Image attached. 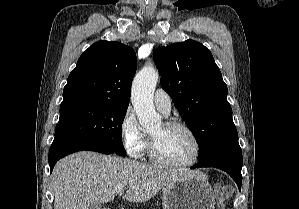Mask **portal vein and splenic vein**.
Instances as JSON below:
<instances>
[{
  "mask_svg": "<svg viewBox=\"0 0 299 209\" xmlns=\"http://www.w3.org/2000/svg\"><path fill=\"white\" fill-rule=\"evenodd\" d=\"M123 190H124V187H123V186H119V187L117 188V190H116V193H117V194H122Z\"/></svg>",
  "mask_w": 299,
  "mask_h": 209,
  "instance_id": "obj_1",
  "label": "portal vein and splenic vein"
}]
</instances>
